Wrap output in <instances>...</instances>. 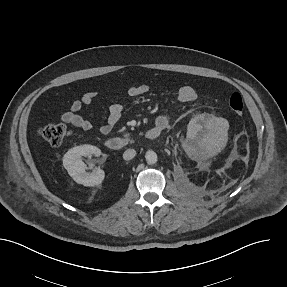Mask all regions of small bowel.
<instances>
[{
	"instance_id": "obj_1",
	"label": "small bowel",
	"mask_w": 287,
	"mask_h": 287,
	"mask_svg": "<svg viewBox=\"0 0 287 287\" xmlns=\"http://www.w3.org/2000/svg\"><path fill=\"white\" fill-rule=\"evenodd\" d=\"M149 90V87L145 84L133 86L128 88L127 94L131 98H138L145 94ZM99 93L96 91L85 92L79 99L74 100L69 110L61 113L60 118L62 121L73 125L79 129L89 131L93 128V124L90 120L84 118L80 112L88 105L92 104ZM197 90L190 86L184 85L180 87L174 98L171 101V105H176L178 103H189L197 99ZM123 105L120 103H113L109 107L108 117L105 123L99 127L100 133L106 135L112 131L114 126L119 122L123 114ZM170 123V118L167 114H159L155 119V126L162 128L163 130L168 127Z\"/></svg>"
}]
</instances>
